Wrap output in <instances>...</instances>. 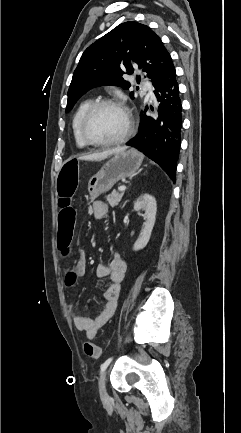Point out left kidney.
I'll list each match as a JSON object with an SVG mask.
<instances>
[{
	"label": "left kidney",
	"instance_id": "left-kidney-1",
	"mask_svg": "<svg viewBox=\"0 0 241 433\" xmlns=\"http://www.w3.org/2000/svg\"><path fill=\"white\" fill-rule=\"evenodd\" d=\"M134 210L138 212L140 210L145 211V214L143 216L146 220L145 226L133 246V250L138 251L146 247L151 237L157 211V204L155 198L149 194L141 195L134 203ZM138 214L141 215L140 213Z\"/></svg>",
	"mask_w": 241,
	"mask_h": 433
}]
</instances>
